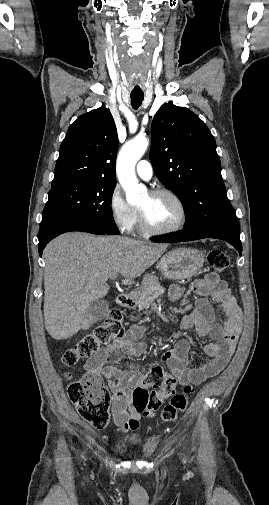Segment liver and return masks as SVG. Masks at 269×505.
<instances>
[{
  "label": "liver",
  "mask_w": 269,
  "mask_h": 505,
  "mask_svg": "<svg viewBox=\"0 0 269 505\" xmlns=\"http://www.w3.org/2000/svg\"><path fill=\"white\" fill-rule=\"evenodd\" d=\"M165 250L163 244L81 232L51 241L43 252V311L50 336L62 340L75 335L90 303L107 295L109 278L120 273L122 283L130 285Z\"/></svg>",
  "instance_id": "1"
}]
</instances>
